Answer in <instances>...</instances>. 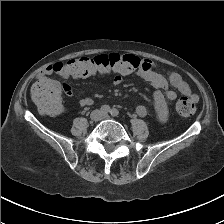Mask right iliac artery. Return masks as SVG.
I'll return each mask as SVG.
<instances>
[{"mask_svg": "<svg viewBox=\"0 0 224 224\" xmlns=\"http://www.w3.org/2000/svg\"><path fill=\"white\" fill-rule=\"evenodd\" d=\"M100 110L103 114H107L110 112V107L108 105H103Z\"/></svg>", "mask_w": 224, "mask_h": 224, "instance_id": "right-iliac-artery-1", "label": "right iliac artery"}]
</instances>
